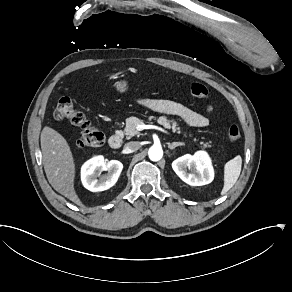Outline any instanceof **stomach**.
<instances>
[{
  "mask_svg": "<svg viewBox=\"0 0 292 292\" xmlns=\"http://www.w3.org/2000/svg\"><path fill=\"white\" fill-rule=\"evenodd\" d=\"M113 88H114L116 93L125 94L129 91L130 84H129V81L127 79L120 78L113 84Z\"/></svg>",
  "mask_w": 292,
  "mask_h": 292,
  "instance_id": "stomach-1",
  "label": "stomach"
}]
</instances>
